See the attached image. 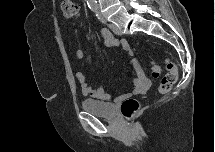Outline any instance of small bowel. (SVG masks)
I'll return each mask as SVG.
<instances>
[{
    "instance_id": "1",
    "label": "small bowel",
    "mask_w": 215,
    "mask_h": 152,
    "mask_svg": "<svg viewBox=\"0 0 215 152\" xmlns=\"http://www.w3.org/2000/svg\"><path fill=\"white\" fill-rule=\"evenodd\" d=\"M101 37L104 41V44L107 47L120 46L123 51L127 52L129 55H132V49L126 39H121L118 41L114 35H112L107 29H101ZM85 52L82 49L76 51V59L79 61L84 60ZM129 66L132 67L135 71V76H133L132 83L133 89L129 95H138L144 93L150 86V80L145 77L142 72L141 66L136 59H131L129 61ZM77 80L80 84L82 93L84 95L91 96L98 100H104L108 97L103 87L93 88L89 85L86 80L85 75L82 72L77 73Z\"/></svg>"
}]
</instances>
